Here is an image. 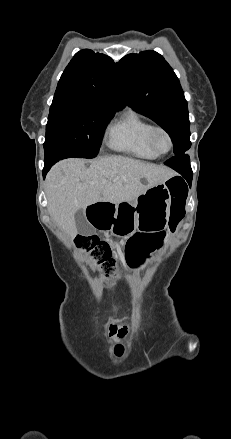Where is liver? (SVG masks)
I'll list each match as a JSON object with an SVG mask.
<instances>
[{"label": "liver", "mask_w": 231, "mask_h": 439, "mask_svg": "<svg viewBox=\"0 0 231 439\" xmlns=\"http://www.w3.org/2000/svg\"><path fill=\"white\" fill-rule=\"evenodd\" d=\"M85 164L84 159H65L55 164L46 177L48 212L71 238L78 233L75 222L78 211L97 202L134 201L146 190L176 175L166 166L122 156L90 161L89 167ZM102 180L107 182L103 184Z\"/></svg>", "instance_id": "1"}]
</instances>
